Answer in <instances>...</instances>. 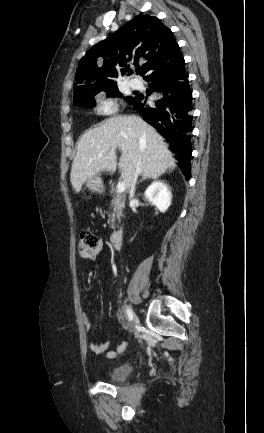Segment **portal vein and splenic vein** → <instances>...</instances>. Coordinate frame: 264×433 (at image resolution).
I'll return each instance as SVG.
<instances>
[{
  "label": "portal vein and splenic vein",
  "instance_id": "obj_1",
  "mask_svg": "<svg viewBox=\"0 0 264 433\" xmlns=\"http://www.w3.org/2000/svg\"><path fill=\"white\" fill-rule=\"evenodd\" d=\"M126 190V184L122 181L117 184V192L123 193Z\"/></svg>",
  "mask_w": 264,
  "mask_h": 433
}]
</instances>
